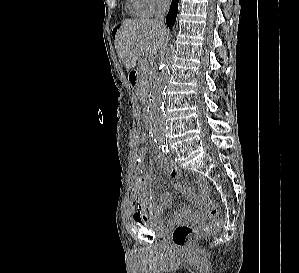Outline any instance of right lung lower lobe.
Listing matches in <instances>:
<instances>
[{
	"instance_id": "98d812e1",
	"label": "right lung lower lobe",
	"mask_w": 299,
	"mask_h": 273,
	"mask_svg": "<svg viewBox=\"0 0 299 273\" xmlns=\"http://www.w3.org/2000/svg\"><path fill=\"white\" fill-rule=\"evenodd\" d=\"M177 5H178V0H172L170 10L166 17V24L170 29H172L176 20L177 9H178Z\"/></svg>"
}]
</instances>
